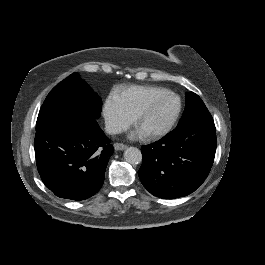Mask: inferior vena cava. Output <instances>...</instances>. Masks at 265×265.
I'll return each instance as SVG.
<instances>
[{"instance_id":"602c4592","label":"inferior vena cava","mask_w":265,"mask_h":265,"mask_svg":"<svg viewBox=\"0 0 265 265\" xmlns=\"http://www.w3.org/2000/svg\"><path fill=\"white\" fill-rule=\"evenodd\" d=\"M105 131L108 134H118L122 132V126L117 122L106 121L105 122Z\"/></svg>"}]
</instances>
